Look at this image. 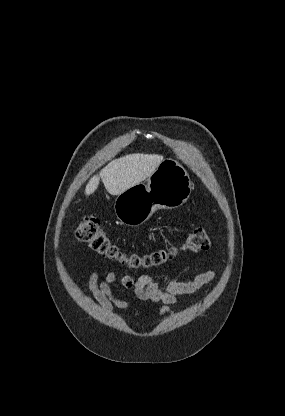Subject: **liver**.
<instances>
[{
    "label": "liver",
    "mask_w": 285,
    "mask_h": 416,
    "mask_svg": "<svg viewBox=\"0 0 285 416\" xmlns=\"http://www.w3.org/2000/svg\"><path fill=\"white\" fill-rule=\"evenodd\" d=\"M163 162V156L158 154H128L119 160H112L105 166L99 176H93L86 188V196L97 190L102 180L107 192L111 196H119L132 186L144 182Z\"/></svg>",
    "instance_id": "6515ba94"
}]
</instances>
